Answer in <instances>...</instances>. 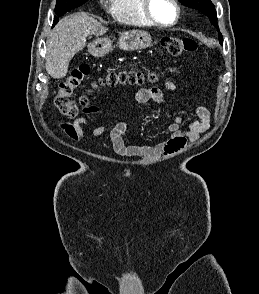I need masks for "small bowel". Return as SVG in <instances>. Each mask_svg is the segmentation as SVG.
<instances>
[{
    "label": "small bowel",
    "mask_w": 259,
    "mask_h": 294,
    "mask_svg": "<svg viewBox=\"0 0 259 294\" xmlns=\"http://www.w3.org/2000/svg\"><path fill=\"white\" fill-rule=\"evenodd\" d=\"M165 87L176 92V85L170 80H165ZM134 102L138 106H144L150 102L157 105H165L163 92L158 87L142 88L135 92ZM90 116H82L75 119L72 123H60L61 129L73 140H80L83 137L82 126L89 123L92 118L99 114L95 106L87 107L83 110ZM119 116V113L116 112ZM197 120L189 121L183 126L182 119L175 117L168 127L171 136L168 140L156 145L128 144L125 135L128 132V125L125 121L117 120L110 131V142L114 152L122 157H154L156 155H170L182 149L188 141L197 140L200 135L210 127L211 114L205 106L196 108ZM108 125H101L93 131V136L98 137L103 134Z\"/></svg>",
    "instance_id": "1"
}]
</instances>
